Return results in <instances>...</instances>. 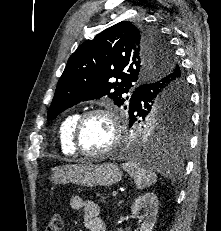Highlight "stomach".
Returning <instances> with one entry per match:
<instances>
[{"instance_id": "stomach-1", "label": "stomach", "mask_w": 221, "mask_h": 231, "mask_svg": "<svg viewBox=\"0 0 221 231\" xmlns=\"http://www.w3.org/2000/svg\"><path fill=\"white\" fill-rule=\"evenodd\" d=\"M49 178L54 184L73 183L76 185L112 186L122 178V171L116 164H72L54 167Z\"/></svg>"}]
</instances>
